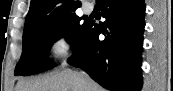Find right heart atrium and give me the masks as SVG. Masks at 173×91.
Instances as JSON below:
<instances>
[{
  "label": "right heart atrium",
  "mask_w": 173,
  "mask_h": 91,
  "mask_svg": "<svg viewBox=\"0 0 173 91\" xmlns=\"http://www.w3.org/2000/svg\"><path fill=\"white\" fill-rule=\"evenodd\" d=\"M49 50L60 63L65 64L74 51V43L68 35L61 34L52 40Z\"/></svg>",
  "instance_id": "right-heart-atrium-1"
}]
</instances>
